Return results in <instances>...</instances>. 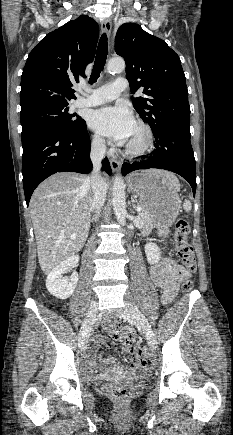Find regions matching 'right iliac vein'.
<instances>
[{
	"instance_id": "obj_1",
	"label": "right iliac vein",
	"mask_w": 233,
	"mask_h": 435,
	"mask_svg": "<svg viewBox=\"0 0 233 435\" xmlns=\"http://www.w3.org/2000/svg\"><path fill=\"white\" fill-rule=\"evenodd\" d=\"M98 312V304L96 301H93L89 309L87 311L86 319L84 321V324L82 326L80 335H79V346L81 350H85L88 346V338L89 334L93 328V325L95 323L96 317Z\"/></svg>"
}]
</instances>
